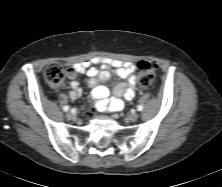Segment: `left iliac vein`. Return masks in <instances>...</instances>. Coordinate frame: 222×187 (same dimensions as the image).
<instances>
[{
	"label": "left iliac vein",
	"instance_id": "obj_1",
	"mask_svg": "<svg viewBox=\"0 0 222 187\" xmlns=\"http://www.w3.org/2000/svg\"><path fill=\"white\" fill-rule=\"evenodd\" d=\"M139 118V114L138 113H132L130 114L127 119L131 122L136 121Z\"/></svg>",
	"mask_w": 222,
	"mask_h": 187
}]
</instances>
